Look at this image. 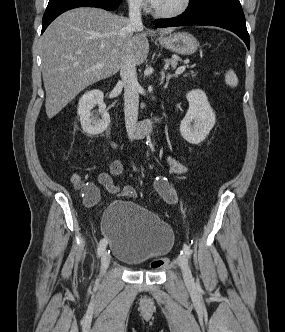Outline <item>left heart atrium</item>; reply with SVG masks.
I'll use <instances>...</instances> for the list:
<instances>
[{
	"instance_id": "obj_1",
	"label": "left heart atrium",
	"mask_w": 285,
	"mask_h": 332,
	"mask_svg": "<svg viewBox=\"0 0 285 332\" xmlns=\"http://www.w3.org/2000/svg\"><path fill=\"white\" fill-rule=\"evenodd\" d=\"M152 6L154 7H158L160 5V3L162 2V0H148Z\"/></svg>"
}]
</instances>
